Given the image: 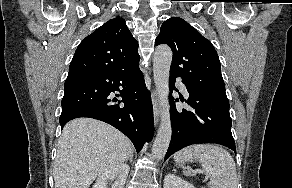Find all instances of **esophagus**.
Instances as JSON below:
<instances>
[{
	"label": "esophagus",
	"instance_id": "1",
	"mask_svg": "<svg viewBox=\"0 0 292 188\" xmlns=\"http://www.w3.org/2000/svg\"><path fill=\"white\" fill-rule=\"evenodd\" d=\"M152 104H153V113H154V122L155 125H158L159 117H160V104L155 91L152 92Z\"/></svg>",
	"mask_w": 292,
	"mask_h": 188
}]
</instances>
